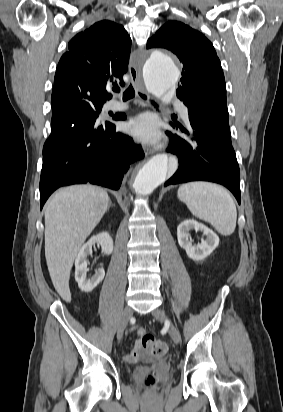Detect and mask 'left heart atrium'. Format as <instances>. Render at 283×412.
<instances>
[{
    "mask_svg": "<svg viewBox=\"0 0 283 412\" xmlns=\"http://www.w3.org/2000/svg\"><path fill=\"white\" fill-rule=\"evenodd\" d=\"M125 130L131 137L143 144H156L161 137L157 120L149 114L133 118L128 122Z\"/></svg>",
    "mask_w": 283,
    "mask_h": 412,
    "instance_id": "39dd6f15",
    "label": "left heart atrium"
}]
</instances>
